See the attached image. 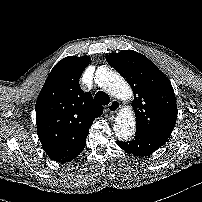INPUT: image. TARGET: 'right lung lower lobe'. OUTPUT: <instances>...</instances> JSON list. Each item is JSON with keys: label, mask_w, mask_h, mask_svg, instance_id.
I'll list each match as a JSON object with an SVG mask.
<instances>
[{"label": "right lung lower lobe", "mask_w": 202, "mask_h": 202, "mask_svg": "<svg viewBox=\"0 0 202 202\" xmlns=\"http://www.w3.org/2000/svg\"><path fill=\"white\" fill-rule=\"evenodd\" d=\"M88 132H89V130H88ZM88 132H87V135H88ZM87 135L85 136V139H84V142H83L82 146L69 159L63 161L62 163L69 162V161L73 160L74 158H76L83 151V149L85 147V144H86Z\"/></svg>", "instance_id": "1"}]
</instances>
